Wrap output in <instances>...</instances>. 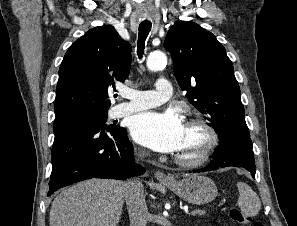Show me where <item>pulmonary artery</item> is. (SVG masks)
<instances>
[{
	"label": "pulmonary artery",
	"mask_w": 297,
	"mask_h": 226,
	"mask_svg": "<svg viewBox=\"0 0 297 226\" xmlns=\"http://www.w3.org/2000/svg\"><path fill=\"white\" fill-rule=\"evenodd\" d=\"M121 95L129 99V101L117 104L112 108L111 115L115 118L165 103L172 95V85L167 79L160 78L156 81L155 89L153 90L140 91L130 89Z\"/></svg>",
	"instance_id": "obj_1"
}]
</instances>
